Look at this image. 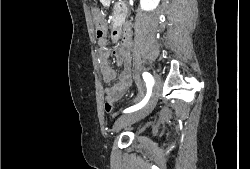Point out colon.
<instances>
[{
    "label": "colon",
    "mask_w": 250,
    "mask_h": 169,
    "mask_svg": "<svg viewBox=\"0 0 250 169\" xmlns=\"http://www.w3.org/2000/svg\"><path fill=\"white\" fill-rule=\"evenodd\" d=\"M95 37H100V43H105V32H103V26L102 24H98L95 26ZM115 103L114 97H107L105 108H113V104ZM111 112L110 110L108 111Z\"/></svg>",
    "instance_id": "colon-1"
}]
</instances>
